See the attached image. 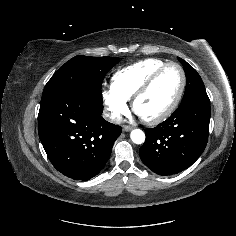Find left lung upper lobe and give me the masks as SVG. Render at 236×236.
I'll use <instances>...</instances> for the list:
<instances>
[{"label": "left lung upper lobe", "mask_w": 236, "mask_h": 236, "mask_svg": "<svg viewBox=\"0 0 236 236\" xmlns=\"http://www.w3.org/2000/svg\"><path fill=\"white\" fill-rule=\"evenodd\" d=\"M178 60L182 63L187 77L185 94L181 104H184L185 102L197 97L207 96L204 83L200 75L196 72V70L192 66H190L185 60L179 57Z\"/></svg>", "instance_id": "obj_1"}]
</instances>
